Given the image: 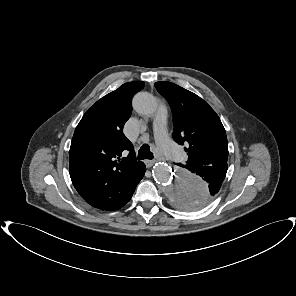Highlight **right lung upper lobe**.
<instances>
[{"instance_id":"obj_1","label":"right lung upper lobe","mask_w":296,"mask_h":296,"mask_svg":"<svg viewBox=\"0 0 296 296\" xmlns=\"http://www.w3.org/2000/svg\"><path fill=\"white\" fill-rule=\"evenodd\" d=\"M143 87L142 81L123 84L90 107L75 129L70 177L80 196L100 210H118L134 193V174L142 162L123 126L132 113L133 95Z\"/></svg>"}]
</instances>
